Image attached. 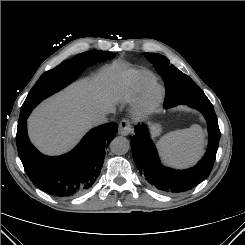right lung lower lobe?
<instances>
[{"mask_svg":"<svg viewBox=\"0 0 245 245\" xmlns=\"http://www.w3.org/2000/svg\"><path fill=\"white\" fill-rule=\"evenodd\" d=\"M89 58L86 66L100 62ZM26 118L19 120L16 143L25 172L32 183L58 197H73L86 192L96 181L105 157V146L117 133L115 122L95 127L69 153L58 157L41 154L29 141Z\"/></svg>","mask_w":245,"mask_h":245,"instance_id":"right-lung-lower-lobe-1","label":"right lung lower lobe"}]
</instances>
